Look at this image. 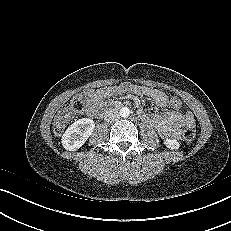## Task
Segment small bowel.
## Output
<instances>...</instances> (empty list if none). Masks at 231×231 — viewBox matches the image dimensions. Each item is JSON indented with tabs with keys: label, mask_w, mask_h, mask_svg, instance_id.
<instances>
[{
	"label": "small bowel",
	"mask_w": 231,
	"mask_h": 231,
	"mask_svg": "<svg viewBox=\"0 0 231 231\" xmlns=\"http://www.w3.org/2000/svg\"><path fill=\"white\" fill-rule=\"evenodd\" d=\"M125 92H134L143 96L151 100L158 107L171 108V110L162 114H149L143 108H140L137 112L139 118L152 124L162 138L178 139L182 128L194 127L195 125L193 114L191 112H181L180 109L171 107L169 96L165 92L145 86L133 85L128 82L99 90H86L85 96L88 102V114L91 116L96 115L104 106V99Z\"/></svg>",
	"instance_id": "1"
}]
</instances>
